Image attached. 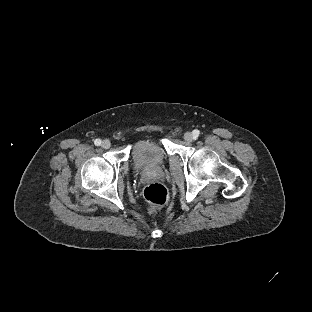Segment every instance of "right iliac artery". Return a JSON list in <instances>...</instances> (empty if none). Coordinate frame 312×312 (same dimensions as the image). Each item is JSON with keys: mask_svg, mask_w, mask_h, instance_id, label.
<instances>
[{"mask_svg": "<svg viewBox=\"0 0 312 312\" xmlns=\"http://www.w3.org/2000/svg\"><path fill=\"white\" fill-rule=\"evenodd\" d=\"M94 143H95V145L99 146V145H101V140L100 139H96L94 141Z\"/></svg>", "mask_w": 312, "mask_h": 312, "instance_id": "82829eb1", "label": "right iliac artery"}]
</instances>
